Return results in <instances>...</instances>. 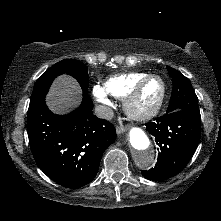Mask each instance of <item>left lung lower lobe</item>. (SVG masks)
Here are the masks:
<instances>
[{
	"mask_svg": "<svg viewBox=\"0 0 221 221\" xmlns=\"http://www.w3.org/2000/svg\"><path fill=\"white\" fill-rule=\"evenodd\" d=\"M200 123L201 118L178 110L146 124V130L155 137L160 152L155 167L141 171L142 175L149 180L162 181L180 173L199 144Z\"/></svg>",
	"mask_w": 221,
	"mask_h": 221,
	"instance_id": "1",
	"label": "left lung lower lobe"
}]
</instances>
